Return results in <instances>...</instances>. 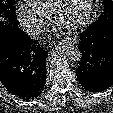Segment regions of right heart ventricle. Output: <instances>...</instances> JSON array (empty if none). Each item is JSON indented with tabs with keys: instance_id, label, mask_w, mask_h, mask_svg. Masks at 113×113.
I'll return each instance as SVG.
<instances>
[{
	"instance_id": "right-heart-ventricle-1",
	"label": "right heart ventricle",
	"mask_w": 113,
	"mask_h": 113,
	"mask_svg": "<svg viewBox=\"0 0 113 113\" xmlns=\"http://www.w3.org/2000/svg\"><path fill=\"white\" fill-rule=\"evenodd\" d=\"M28 6L48 16L54 0H24Z\"/></svg>"
}]
</instances>
